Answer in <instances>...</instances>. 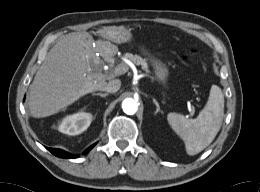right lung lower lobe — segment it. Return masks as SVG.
I'll list each match as a JSON object with an SVG mask.
<instances>
[{"instance_id": "right-lung-lower-lobe-1", "label": "right lung lower lobe", "mask_w": 260, "mask_h": 192, "mask_svg": "<svg viewBox=\"0 0 260 192\" xmlns=\"http://www.w3.org/2000/svg\"><path fill=\"white\" fill-rule=\"evenodd\" d=\"M95 145V144H94ZM90 146L88 149L84 151V154H87L93 146ZM53 155L60 157V158H76L77 156L71 155L68 152L61 150V149H55V148H47Z\"/></svg>"}]
</instances>
